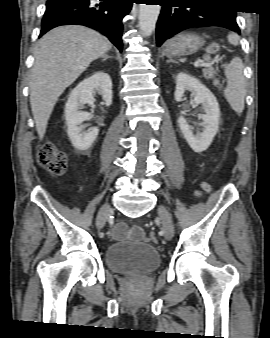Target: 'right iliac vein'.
I'll return each instance as SVG.
<instances>
[{"label": "right iliac vein", "mask_w": 270, "mask_h": 338, "mask_svg": "<svg viewBox=\"0 0 270 338\" xmlns=\"http://www.w3.org/2000/svg\"><path fill=\"white\" fill-rule=\"evenodd\" d=\"M110 211H111V207L108 204L103 205L101 207V209L98 213V216H97V227H98V229H101L104 226Z\"/></svg>", "instance_id": "63e3f726"}]
</instances>
